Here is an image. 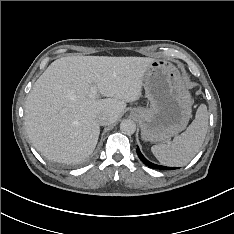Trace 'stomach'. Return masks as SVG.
I'll list each match as a JSON object with an SVG mask.
<instances>
[{"label": "stomach", "instance_id": "0dacf381", "mask_svg": "<svg viewBox=\"0 0 234 234\" xmlns=\"http://www.w3.org/2000/svg\"><path fill=\"white\" fill-rule=\"evenodd\" d=\"M144 89L150 108L138 107L131 111L138 120L143 140L163 142L186 128L192 100L172 63L166 60L150 63L144 75Z\"/></svg>", "mask_w": 234, "mask_h": 234}]
</instances>
